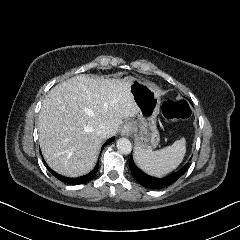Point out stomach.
Wrapping results in <instances>:
<instances>
[{
    "label": "stomach",
    "instance_id": "0dacf381",
    "mask_svg": "<svg viewBox=\"0 0 240 240\" xmlns=\"http://www.w3.org/2000/svg\"><path fill=\"white\" fill-rule=\"evenodd\" d=\"M130 92L138 113L132 122L135 145L139 149L152 151L160 142L156 125L161 104V91L153 83L134 78Z\"/></svg>",
    "mask_w": 240,
    "mask_h": 240
}]
</instances>
